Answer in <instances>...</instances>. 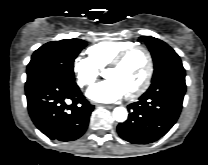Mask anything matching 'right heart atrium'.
Instances as JSON below:
<instances>
[{
	"instance_id": "1",
	"label": "right heart atrium",
	"mask_w": 208,
	"mask_h": 165,
	"mask_svg": "<svg viewBox=\"0 0 208 165\" xmlns=\"http://www.w3.org/2000/svg\"><path fill=\"white\" fill-rule=\"evenodd\" d=\"M73 71L76 81L81 87H88L98 78L97 66L89 57L77 56L73 61Z\"/></svg>"
}]
</instances>
